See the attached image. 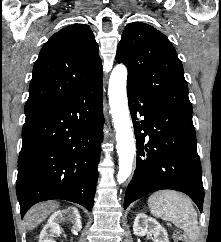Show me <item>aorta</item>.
Segmentation results:
<instances>
[{
    "label": "aorta",
    "instance_id": "762f6f07",
    "mask_svg": "<svg viewBox=\"0 0 221 242\" xmlns=\"http://www.w3.org/2000/svg\"><path fill=\"white\" fill-rule=\"evenodd\" d=\"M126 83L127 68L123 64H118L109 78L108 95L116 131V148L119 156L117 181L119 184L130 176L136 150L130 122Z\"/></svg>",
    "mask_w": 221,
    "mask_h": 242
}]
</instances>
